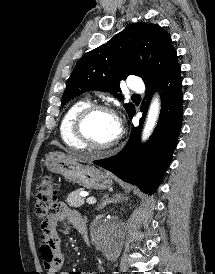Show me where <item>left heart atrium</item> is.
Listing matches in <instances>:
<instances>
[{"instance_id": "1", "label": "left heart atrium", "mask_w": 215, "mask_h": 274, "mask_svg": "<svg viewBox=\"0 0 215 274\" xmlns=\"http://www.w3.org/2000/svg\"><path fill=\"white\" fill-rule=\"evenodd\" d=\"M117 124H118V127H119V129H120V122L117 120Z\"/></svg>"}]
</instances>
